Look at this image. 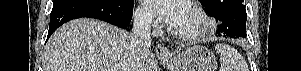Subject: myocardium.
<instances>
[{
    "label": "myocardium",
    "mask_w": 301,
    "mask_h": 71,
    "mask_svg": "<svg viewBox=\"0 0 301 71\" xmlns=\"http://www.w3.org/2000/svg\"><path fill=\"white\" fill-rule=\"evenodd\" d=\"M185 6L193 13V15L197 19V25L189 30H174L173 33L175 34L176 37L187 40V41H192L196 40L199 37L205 35L210 27V22L207 14L197 5L194 3L187 1L185 2Z\"/></svg>",
    "instance_id": "1"
}]
</instances>
